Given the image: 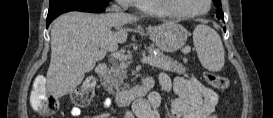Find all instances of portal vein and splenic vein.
Returning <instances> with one entry per match:
<instances>
[{"mask_svg": "<svg viewBox=\"0 0 273 118\" xmlns=\"http://www.w3.org/2000/svg\"><path fill=\"white\" fill-rule=\"evenodd\" d=\"M113 51V56L116 57V58H119L120 60H126L127 58H131L132 56L131 55H123L121 54L120 52H114V50H111ZM142 62H145V63H151V57H143L142 59Z\"/></svg>", "mask_w": 273, "mask_h": 118, "instance_id": "portal-vein-and-splenic-vein-1", "label": "portal vein and splenic vein"}]
</instances>
